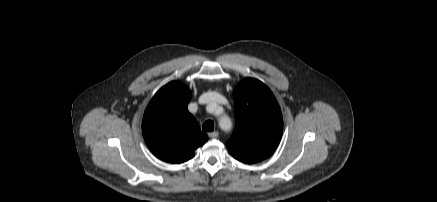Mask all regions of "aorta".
<instances>
[{"instance_id": "aorta-1", "label": "aorta", "mask_w": 437, "mask_h": 202, "mask_svg": "<svg viewBox=\"0 0 437 202\" xmlns=\"http://www.w3.org/2000/svg\"><path fill=\"white\" fill-rule=\"evenodd\" d=\"M219 125L222 129L227 128L229 130L231 128V120L227 116L222 117L219 120Z\"/></svg>"}]
</instances>
